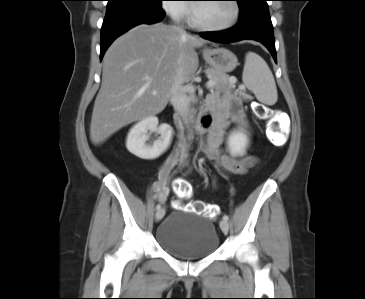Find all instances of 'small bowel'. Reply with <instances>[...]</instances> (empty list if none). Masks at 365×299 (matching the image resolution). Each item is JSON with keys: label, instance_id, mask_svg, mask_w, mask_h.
Wrapping results in <instances>:
<instances>
[{"label": "small bowel", "instance_id": "small-bowel-1", "mask_svg": "<svg viewBox=\"0 0 365 299\" xmlns=\"http://www.w3.org/2000/svg\"><path fill=\"white\" fill-rule=\"evenodd\" d=\"M212 100L217 102L214 112L215 124L207 137L205 150L208 156L214 159L218 167L223 171L235 175L244 174L249 168L257 163L258 158L254 155L235 157L227 154L221 148L225 130L231 123L236 124L243 129H248L247 120L241 103L231 96L223 97L219 100L217 95H213ZM174 165L175 160L173 158L167 160L161 169L159 179L155 184L161 199H165L168 194L167 178Z\"/></svg>", "mask_w": 365, "mask_h": 299}]
</instances>
